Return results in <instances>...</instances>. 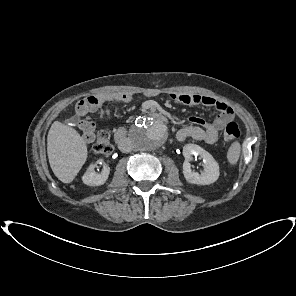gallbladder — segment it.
Instances as JSON below:
<instances>
[{
	"label": "gallbladder",
	"mask_w": 296,
	"mask_h": 296,
	"mask_svg": "<svg viewBox=\"0 0 296 296\" xmlns=\"http://www.w3.org/2000/svg\"><path fill=\"white\" fill-rule=\"evenodd\" d=\"M78 121H79V118L75 116V117H72V118L66 120V123H68V124H77Z\"/></svg>",
	"instance_id": "bac80fb5"
}]
</instances>
